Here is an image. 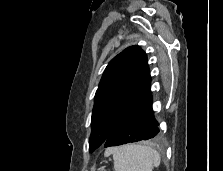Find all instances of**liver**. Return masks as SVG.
Wrapping results in <instances>:
<instances>
[{
    "label": "liver",
    "mask_w": 223,
    "mask_h": 171,
    "mask_svg": "<svg viewBox=\"0 0 223 171\" xmlns=\"http://www.w3.org/2000/svg\"><path fill=\"white\" fill-rule=\"evenodd\" d=\"M110 150H111V149H109V150L106 151V153H105L106 156L109 155V154L111 153Z\"/></svg>",
    "instance_id": "1"
}]
</instances>
